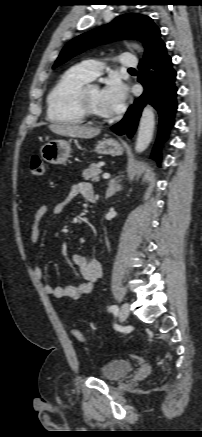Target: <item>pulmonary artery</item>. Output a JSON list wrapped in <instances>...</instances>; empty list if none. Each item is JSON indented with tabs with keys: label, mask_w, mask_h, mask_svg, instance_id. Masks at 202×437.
<instances>
[{
	"label": "pulmonary artery",
	"mask_w": 202,
	"mask_h": 437,
	"mask_svg": "<svg viewBox=\"0 0 202 437\" xmlns=\"http://www.w3.org/2000/svg\"><path fill=\"white\" fill-rule=\"evenodd\" d=\"M119 64L124 68H136L138 65L137 58L130 54L124 53L119 56ZM90 80L99 76L103 71V65L96 60H86L77 66Z\"/></svg>",
	"instance_id": "obj_1"
}]
</instances>
